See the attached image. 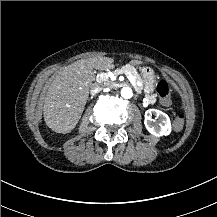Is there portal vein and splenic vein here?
<instances>
[{"mask_svg":"<svg viewBox=\"0 0 217 217\" xmlns=\"http://www.w3.org/2000/svg\"><path fill=\"white\" fill-rule=\"evenodd\" d=\"M126 75H127L128 80L130 81V83L133 86H135L136 85V82H135L136 77L130 71H128ZM109 77L112 79V77H115V76L111 75Z\"/></svg>","mask_w":217,"mask_h":217,"instance_id":"portal-vein-and-splenic-vein-1","label":"portal vein and splenic vein"}]
</instances>
